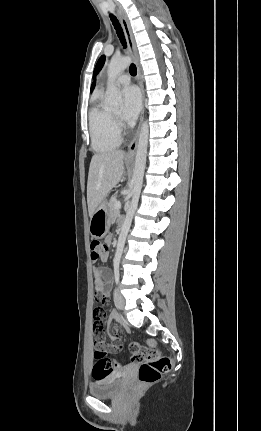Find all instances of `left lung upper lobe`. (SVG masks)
<instances>
[{"mask_svg": "<svg viewBox=\"0 0 261 431\" xmlns=\"http://www.w3.org/2000/svg\"><path fill=\"white\" fill-rule=\"evenodd\" d=\"M104 62H105V56L103 55V56L100 57V59L98 60V62L96 64V67L94 69L93 77H95L96 74L101 70V68L103 67Z\"/></svg>", "mask_w": 261, "mask_h": 431, "instance_id": "5c2ea615", "label": "left lung upper lobe"}]
</instances>
